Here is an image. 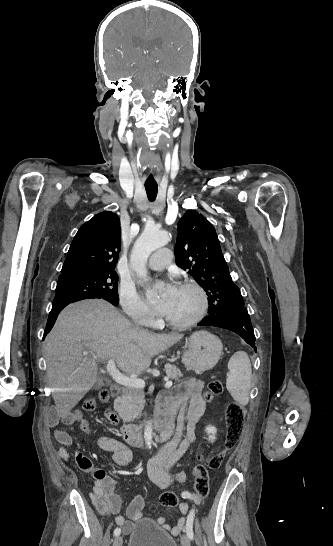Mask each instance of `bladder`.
Returning a JSON list of instances; mask_svg holds the SVG:
<instances>
[{
    "instance_id": "1",
    "label": "bladder",
    "mask_w": 333,
    "mask_h": 546,
    "mask_svg": "<svg viewBox=\"0 0 333 546\" xmlns=\"http://www.w3.org/2000/svg\"><path fill=\"white\" fill-rule=\"evenodd\" d=\"M127 546H179L177 541L150 519L133 525Z\"/></svg>"
}]
</instances>
